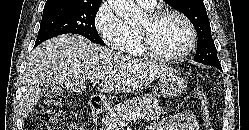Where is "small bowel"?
<instances>
[{
	"label": "small bowel",
	"instance_id": "1",
	"mask_svg": "<svg viewBox=\"0 0 249 130\" xmlns=\"http://www.w3.org/2000/svg\"><path fill=\"white\" fill-rule=\"evenodd\" d=\"M63 130H84L83 128L69 124ZM145 130H200L196 117L188 111L177 112L166 116L162 120L152 124Z\"/></svg>",
	"mask_w": 249,
	"mask_h": 130
}]
</instances>
